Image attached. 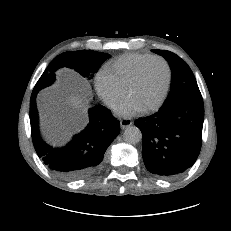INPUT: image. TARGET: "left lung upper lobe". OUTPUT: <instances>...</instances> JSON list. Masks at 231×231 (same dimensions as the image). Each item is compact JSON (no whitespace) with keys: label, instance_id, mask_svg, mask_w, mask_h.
Masks as SVG:
<instances>
[{"label":"left lung upper lobe","instance_id":"5c2ea615","mask_svg":"<svg viewBox=\"0 0 231 231\" xmlns=\"http://www.w3.org/2000/svg\"><path fill=\"white\" fill-rule=\"evenodd\" d=\"M152 51L163 56L172 70L170 92L161 109L168 108L188 96H201L193 72L183 59L167 50Z\"/></svg>","mask_w":231,"mask_h":231}]
</instances>
